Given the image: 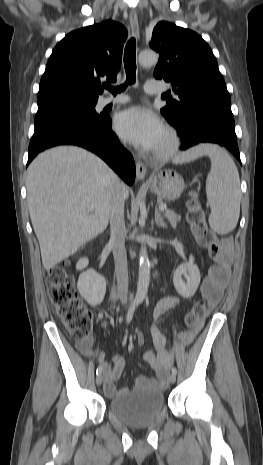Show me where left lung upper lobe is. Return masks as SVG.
Segmentation results:
<instances>
[{
  "mask_svg": "<svg viewBox=\"0 0 263 465\" xmlns=\"http://www.w3.org/2000/svg\"><path fill=\"white\" fill-rule=\"evenodd\" d=\"M150 46L160 54L155 78L170 82L179 96L161 109L169 123L204 105L231 110L230 94L216 58L197 33L161 21L153 30Z\"/></svg>",
  "mask_w": 263,
  "mask_h": 465,
  "instance_id": "5c2ea615",
  "label": "left lung upper lobe"
}]
</instances>
